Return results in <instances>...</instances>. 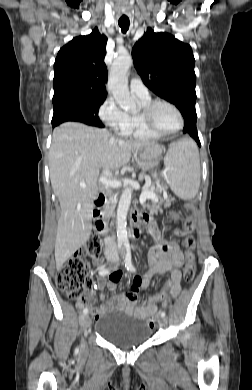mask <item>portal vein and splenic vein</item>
Segmentation results:
<instances>
[{
	"label": "portal vein and splenic vein",
	"instance_id": "obj_1",
	"mask_svg": "<svg viewBox=\"0 0 252 390\" xmlns=\"http://www.w3.org/2000/svg\"><path fill=\"white\" fill-rule=\"evenodd\" d=\"M99 182H102V183L106 184L107 186H111V187H114V188L120 186V182L119 181H117V180H113V181L107 180L105 177H100ZM80 186L85 188L86 184L84 182H81ZM145 188H147V184L142 188V193L140 195V202L141 203H143L146 200V198H150V197H154L155 196L154 194L147 192L145 190Z\"/></svg>",
	"mask_w": 252,
	"mask_h": 390
}]
</instances>
